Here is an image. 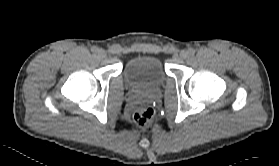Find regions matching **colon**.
I'll return each instance as SVG.
<instances>
[{"instance_id":"5ec220e1","label":"colon","mask_w":279,"mask_h":166,"mask_svg":"<svg viewBox=\"0 0 279 166\" xmlns=\"http://www.w3.org/2000/svg\"><path fill=\"white\" fill-rule=\"evenodd\" d=\"M154 117V110L152 107H144L135 111L133 118L136 124L144 128L148 126Z\"/></svg>"}]
</instances>
